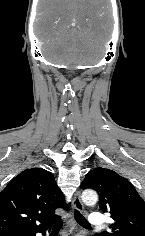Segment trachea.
Wrapping results in <instances>:
<instances>
[{
	"instance_id": "trachea-1",
	"label": "trachea",
	"mask_w": 145,
	"mask_h": 236,
	"mask_svg": "<svg viewBox=\"0 0 145 236\" xmlns=\"http://www.w3.org/2000/svg\"><path fill=\"white\" fill-rule=\"evenodd\" d=\"M74 216L79 225L85 228H90V224L79 211L75 210ZM61 227H62V223H57L54 225V229H60Z\"/></svg>"
}]
</instances>
